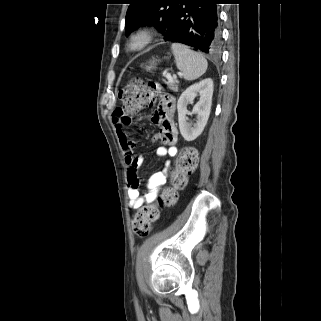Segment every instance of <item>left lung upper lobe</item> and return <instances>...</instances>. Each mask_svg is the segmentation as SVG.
I'll list each match as a JSON object with an SVG mask.
<instances>
[{"instance_id": "left-lung-upper-lobe-1", "label": "left lung upper lobe", "mask_w": 321, "mask_h": 321, "mask_svg": "<svg viewBox=\"0 0 321 321\" xmlns=\"http://www.w3.org/2000/svg\"><path fill=\"white\" fill-rule=\"evenodd\" d=\"M178 2L179 0H129L125 21L126 36L145 25L154 26L164 35Z\"/></svg>"}]
</instances>
